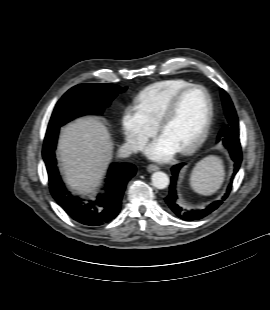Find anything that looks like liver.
I'll use <instances>...</instances> for the list:
<instances>
[{"label":"liver","mask_w":270,"mask_h":310,"mask_svg":"<svg viewBox=\"0 0 270 310\" xmlns=\"http://www.w3.org/2000/svg\"><path fill=\"white\" fill-rule=\"evenodd\" d=\"M107 127L96 117H80L61 129L57 155L64 181L79 194H94L112 158Z\"/></svg>","instance_id":"obj_1"}]
</instances>
